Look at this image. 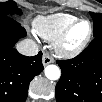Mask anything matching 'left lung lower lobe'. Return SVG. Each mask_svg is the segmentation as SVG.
I'll use <instances>...</instances> for the list:
<instances>
[{"mask_svg": "<svg viewBox=\"0 0 102 102\" xmlns=\"http://www.w3.org/2000/svg\"><path fill=\"white\" fill-rule=\"evenodd\" d=\"M57 63L62 71L55 88L57 102H102V36L75 58Z\"/></svg>", "mask_w": 102, "mask_h": 102, "instance_id": "left-lung-lower-lobe-1", "label": "left lung lower lobe"}]
</instances>
